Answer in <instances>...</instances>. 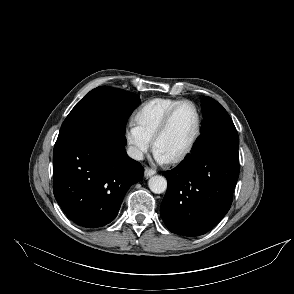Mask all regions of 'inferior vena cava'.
<instances>
[{
	"label": "inferior vena cava",
	"mask_w": 294,
	"mask_h": 294,
	"mask_svg": "<svg viewBox=\"0 0 294 294\" xmlns=\"http://www.w3.org/2000/svg\"><path fill=\"white\" fill-rule=\"evenodd\" d=\"M127 154L129 157H131L134 160H138V161L143 160L142 151L136 147H133V146L128 147Z\"/></svg>",
	"instance_id": "inferior-vena-cava-1"
}]
</instances>
